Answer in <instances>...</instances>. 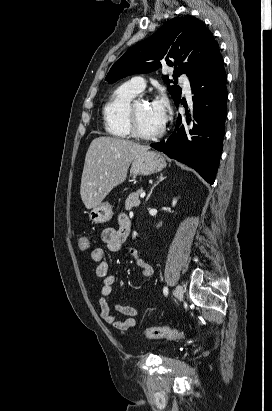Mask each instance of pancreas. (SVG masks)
<instances>
[{
	"instance_id": "cf45deb5",
	"label": "pancreas",
	"mask_w": 272,
	"mask_h": 411,
	"mask_svg": "<svg viewBox=\"0 0 272 411\" xmlns=\"http://www.w3.org/2000/svg\"><path fill=\"white\" fill-rule=\"evenodd\" d=\"M141 193L140 190L131 193L125 201V209L131 210L134 207H138L140 205L139 194Z\"/></svg>"
}]
</instances>
